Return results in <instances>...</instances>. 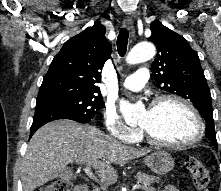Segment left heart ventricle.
Here are the masks:
<instances>
[{
    "label": "left heart ventricle",
    "instance_id": "1",
    "mask_svg": "<svg viewBox=\"0 0 221 191\" xmlns=\"http://www.w3.org/2000/svg\"><path fill=\"white\" fill-rule=\"evenodd\" d=\"M139 126L155 138L170 143L188 141L197 133V124L192 114L175 101L164 102L144 112Z\"/></svg>",
    "mask_w": 221,
    "mask_h": 191
}]
</instances>
